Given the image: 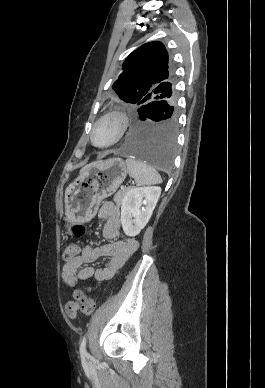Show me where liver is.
Here are the masks:
<instances>
[{
    "instance_id": "liver-1",
    "label": "liver",
    "mask_w": 265,
    "mask_h": 388,
    "mask_svg": "<svg viewBox=\"0 0 265 388\" xmlns=\"http://www.w3.org/2000/svg\"><path fill=\"white\" fill-rule=\"evenodd\" d=\"M95 164H99V162H92V164H87L85 168H82V170H88V168H91V166H95Z\"/></svg>"
}]
</instances>
